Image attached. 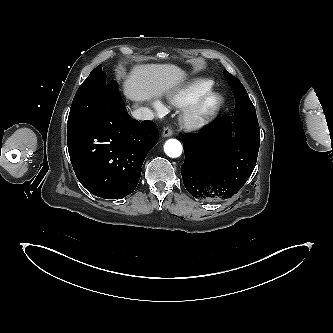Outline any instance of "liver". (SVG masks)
<instances>
[{"instance_id": "liver-1", "label": "liver", "mask_w": 333, "mask_h": 333, "mask_svg": "<svg viewBox=\"0 0 333 333\" xmlns=\"http://www.w3.org/2000/svg\"><path fill=\"white\" fill-rule=\"evenodd\" d=\"M185 77L173 64H137L124 76L123 93L134 102L149 101L171 92Z\"/></svg>"}]
</instances>
